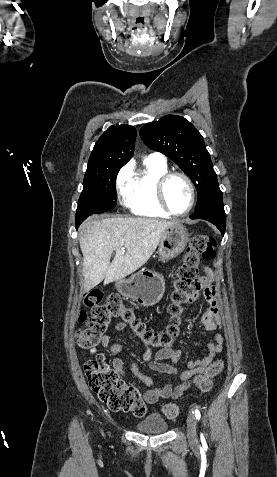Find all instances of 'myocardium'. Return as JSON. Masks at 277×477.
Instances as JSON below:
<instances>
[{
	"label": "myocardium",
	"mask_w": 277,
	"mask_h": 477,
	"mask_svg": "<svg viewBox=\"0 0 277 477\" xmlns=\"http://www.w3.org/2000/svg\"><path fill=\"white\" fill-rule=\"evenodd\" d=\"M181 177L183 178L186 183L188 184L189 190H190V202L186 210L183 212H175L171 209L167 198H166V186L169 182V180L173 177ZM156 196L158 199V202L160 206L163 208L164 211H166L169 215L175 216V217H183L188 215L191 210L193 209L196 201V189L195 185L192 181V179L184 172L182 171H167L164 174H162L156 183Z\"/></svg>",
	"instance_id": "1"
}]
</instances>
